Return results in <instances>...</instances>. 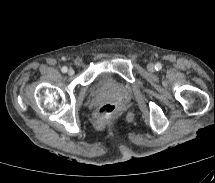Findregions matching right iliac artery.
<instances>
[{
  "label": "right iliac artery",
  "instance_id": "82829eb1",
  "mask_svg": "<svg viewBox=\"0 0 215 183\" xmlns=\"http://www.w3.org/2000/svg\"><path fill=\"white\" fill-rule=\"evenodd\" d=\"M67 70H68V69H67V67H65V66H64V67H62V69H61V71H62L63 73H66V72H67Z\"/></svg>",
  "mask_w": 215,
  "mask_h": 183
}]
</instances>
